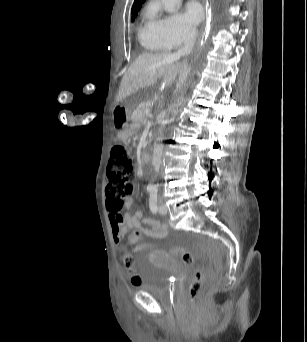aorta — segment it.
<instances>
[{
	"instance_id": "1",
	"label": "aorta",
	"mask_w": 307,
	"mask_h": 342,
	"mask_svg": "<svg viewBox=\"0 0 307 342\" xmlns=\"http://www.w3.org/2000/svg\"><path fill=\"white\" fill-rule=\"evenodd\" d=\"M161 2L166 12H169V14H174V12H176V6L179 0H161ZM169 122H173V120H169Z\"/></svg>"
}]
</instances>
